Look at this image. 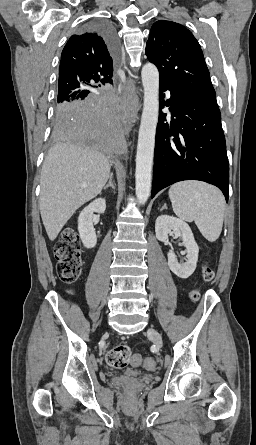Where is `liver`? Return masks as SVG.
Instances as JSON below:
<instances>
[{
  "label": "liver",
  "instance_id": "1",
  "mask_svg": "<svg viewBox=\"0 0 256 445\" xmlns=\"http://www.w3.org/2000/svg\"><path fill=\"white\" fill-rule=\"evenodd\" d=\"M110 168L106 157L80 143H57L50 148L41 171L39 208L51 241L79 207L101 192Z\"/></svg>",
  "mask_w": 256,
  "mask_h": 445
}]
</instances>
